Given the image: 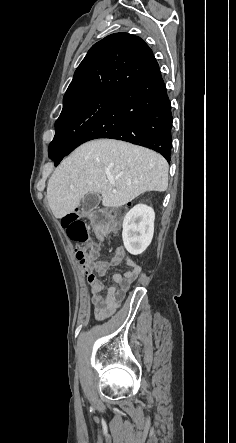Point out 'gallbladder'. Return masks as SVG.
<instances>
[{
    "label": "gallbladder",
    "instance_id": "1",
    "mask_svg": "<svg viewBox=\"0 0 236 443\" xmlns=\"http://www.w3.org/2000/svg\"><path fill=\"white\" fill-rule=\"evenodd\" d=\"M101 198L98 193H88L82 200V216L88 215L100 203Z\"/></svg>",
    "mask_w": 236,
    "mask_h": 443
}]
</instances>
